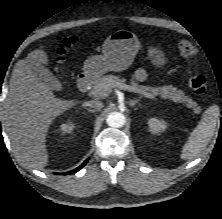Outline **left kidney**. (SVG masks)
Masks as SVG:
<instances>
[{
    "mask_svg": "<svg viewBox=\"0 0 222 219\" xmlns=\"http://www.w3.org/2000/svg\"><path fill=\"white\" fill-rule=\"evenodd\" d=\"M148 127L153 134H159L166 130L167 123L163 119L152 117L148 120Z\"/></svg>",
    "mask_w": 222,
    "mask_h": 219,
    "instance_id": "left-kidney-1",
    "label": "left kidney"
}]
</instances>
